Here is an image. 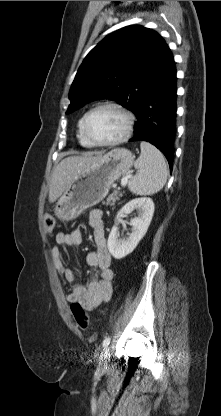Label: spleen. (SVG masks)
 <instances>
[{"label": "spleen", "mask_w": 221, "mask_h": 416, "mask_svg": "<svg viewBox=\"0 0 221 416\" xmlns=\"http://www.w3.org/2000/svg\"><path fill=\"white\" fill-rule=\"evenodd\" d=\"M140 148L141 154L134 163L137 174L129 180L128 188L136 195H152L167 181V164L163 154L149 142L142 141Z\"/></svg>", "instance_id": "obj_1"}]
</instances>
